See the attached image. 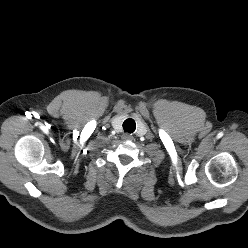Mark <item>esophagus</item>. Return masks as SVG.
<instances>
[{
  "mask_svg": "<svg viewBox=\"0 0 248 248\" xmlns=\"http://www.w3.org/2000/svg\"><path fill=\"white\" fill-rule=\"evenodd\" d=\"M122 139H124V140H131V139H132V136L129 135V134H124V135L122 136Z\"/></svg>",
  "mask_w": 248,
  "mask_h": 248,
  "instance_id": "obj_1",
  "label": "esophagus"
}]
</instances>
